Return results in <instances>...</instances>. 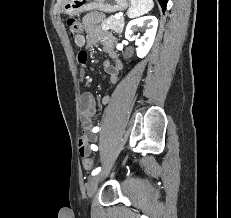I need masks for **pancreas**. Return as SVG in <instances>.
Here are the masks:
<instances>
[{
	"instance_id": "pancreas-1",
	"label": "pancreas",
	"mask_w": 231,
	"mask_h": 218,
	"mask_svg": "<svg viewBox=\"0 0 231 218\" xmlns=\"http://www.w3.org/2000/svg\"><path fill=\"white\" fill-rule=\"evenodd\" d=\"M102 30H113L116 33L120 34L123 31L124 28V18L120 17L117 19L115 16H110L108 19H106L101 24Z\"/></svg>"
}]
</instances>
